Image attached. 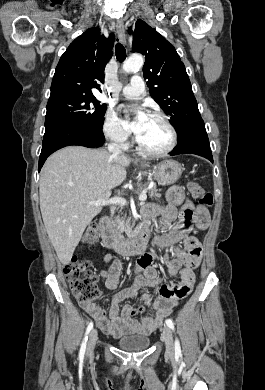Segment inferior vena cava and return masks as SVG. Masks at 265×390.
Returning <instances> with one entry per match:
<instances>
[{
	"label": "inferior vena cava",
	"instance_id": "inferior-vena-cava-1",
	"mask_svg": "<svg viewBox=\"0 0 265 390\" xmlns=\"http://www.w3.org/2000/svg\"><path fill=\"white\" fill-rule=\"evenodd\" d=\"M108 150H109L110 153H112L115 156L121 154L120 147L116 143L109 144L108 145Z\"/></svg>",
	"mask_w": 265,
	"mask_h": 390
}]
</instances>
